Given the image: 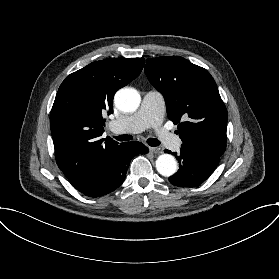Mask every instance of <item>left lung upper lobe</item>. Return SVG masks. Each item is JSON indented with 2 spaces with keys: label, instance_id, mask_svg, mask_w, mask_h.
<instances>
[{
  "label": "left lung upper lobe",
  "instance_id": "obj_1",
  "mask_svg": "<svg viewBox=\"0 0 279 279\" xmlns=\"http://www.w3.org/2000/svg\"><path fill=\"white\" fill-rule=\"evenodd\" d=\"M145 73L163 94L168 118L178 124L182 147L221 156L228 115L210 73L179 56L148 58Z\"/></svg>",
  "mask_w": 279,
  "mask_h": 279
}]
</instances>
